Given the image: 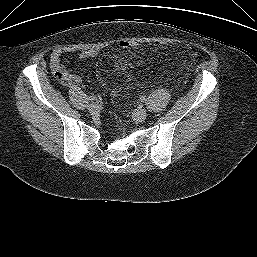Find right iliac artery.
<instances>
[{"instance_id": "right-iliac-artery-1", "label": "right iliac artery", "mask_w": 257, "mask_h": 257, "mask_svg": "<svg viewBox=\"0 0 257 257\" xmlns=\"http://www.w3.org/2000/svg\"><path fill=\"white\" fill-rule=\"evenodd\" d=\"M89 100H90V101H94V100H95V96H90V97H89Z\"/></svg>"}]
</instances>
